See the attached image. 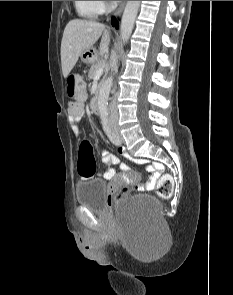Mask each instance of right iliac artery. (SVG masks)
Masks as SVG:
<instances>
[{
  "instance_id": "1",
  "label": "right iliac artery",
  "mask_w": 233,
  "mask_h": 295,
  "mask_svg": "<svg viewBox=\"0 0 233 295\" xmlns=\"http://www.w3.org/2000/svg\"><path fill=\"white\" fill-rule=\"evenodd\" d=\"M103 126H104V130L108 136V138L110 139V141L115 144V145H120V141L117 138V136L111 132L109 126H108V120L107 119H103Z\"/></svg>"
}]
</instances>
